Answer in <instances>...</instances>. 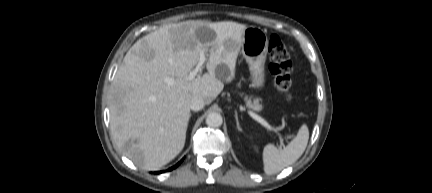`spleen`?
I'll use <instances>...</instances> for the list:
<instances>
[{"instance_id":"obj_1","label":"spleen","mask_w":432,"mask_h":193,"mask_svg":"<svg viewBox=\"0 0 432 193\" xmlns=\"http://www.w3.org/2000/svg\"><path fill=\"white\" fill-rule=\"evenodd\" d=\"M309 140V130L302 125L295 138L283 149L268 144L263 150L264 172L272 175L295 163L304 153Z\"/></svg>"}]
</instances>
